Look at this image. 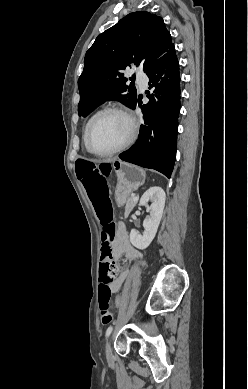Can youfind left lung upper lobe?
<instances>
[{
  "mask_svg": "<svg viewBox=\"0 0 248 389\" xmlns=\"http://www.w3.org/2000/svg\"><path fill=\"white\" fill-rule=\"evenodd\" d=\"M172 45L163 19L146 11L130 13L100 34L86 52L78 79L79 115H89L107 100L131 108L137 91L126 85L122 70L141 64L146 73Z\"/></svg>",
  "mask_w": 248,
  "mask_h": 389,
  "instance_id": "left-lung-upper-lobe-1",
  "label": "left lung upper lobe"
}]
</instances>
